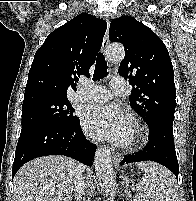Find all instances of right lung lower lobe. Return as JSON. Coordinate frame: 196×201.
<instances>
[{
    "instance_id": "98d812e1",
    "label": "right lung lower lobe",
    "mask_w": 196,
    "mask_h": 201,
    "mask_svg": "<svg viewBox=\"0 0 196 201\" xmlns=\"http://www.w3.org/2000/svg\"><path fill=\"white\" fill-rule=\"evenodd\" d=\"M95 151L96 145L85 138L79 121L70 127L42 122L28 123L22 125L12 177L24 163L46 155H64L92 166Z\"/></svg>"
}]
</instances>
